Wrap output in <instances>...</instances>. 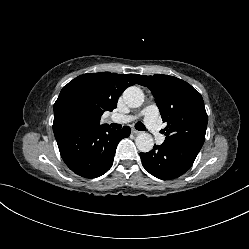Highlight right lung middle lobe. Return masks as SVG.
Returning a JSON list of instances; mask_svg holds the SVG:
<instances>
[{"instance_id": "right-lung-middle-lobe-1", "label": "right lung middle lobe", "mask_w": 249, "mask_h": 249, "mask_svg": "<svg viewBox=\"0 0 249 249\" xmlns=\"http://www.w3.org/2000/svg\"><path fill=\"white\" fill-rule=\"evenodd\" d=\"M81 117V110L75 105H67L61 114L62 120L70 125L76 124Z\"/></svg>"}]
</instances>
